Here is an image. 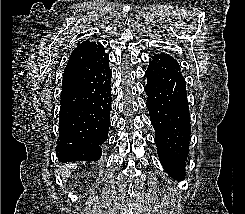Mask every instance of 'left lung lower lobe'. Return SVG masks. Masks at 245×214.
<instances>
[{
    "label": "left lung lower lobe",
    "instance_id": "1",
    "mask_svg": "<svg viewBox=\"0 0 245 214\" xmlns=\"http://www.w3.org/2000/svg\"><path fill=\"white\" fill-rule=\"evenodd\" d=\"M145 76L146 106L155 129L158 156L165 171L182 180L191 133L185 79L180 71L158 64H150Z\"/></svg>",
    "mask_w": 245,
    "mask_h": 214
}]
</instances>
